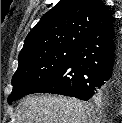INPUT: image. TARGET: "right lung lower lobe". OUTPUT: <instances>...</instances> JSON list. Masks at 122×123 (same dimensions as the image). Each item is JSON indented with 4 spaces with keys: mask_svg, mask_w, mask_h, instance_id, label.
<instances>
[{
    "mask_svg": "<svg viewBox=\"0 0 122 123\" xmlns=\"http://www.w3.org/2000/svg\"><path fill=\"white\" fill-rule=\"evenodd\" d=\"M32 93L60 94L85 101L97 96L120 97L122 39L114 21L93 32L69 61L28 94Z\"/></svg>",
    "mask_w": 122,
    "mask_h": 123,
    "instance_id": "obj_1",
    "label": "right lung lower lobe"
}]
</instances>
